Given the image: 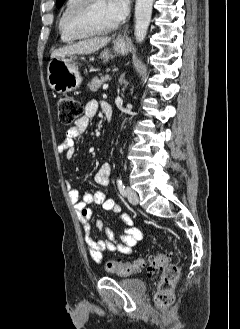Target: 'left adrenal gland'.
<instances>
[{"mask_svg": "<svg viewBox=\"0 0 240 329\" xmlns=\"http://www.w3.org/2000/svg\"><path fill=\"white\" fill-rule=\"evenodd\" d=\"M123 78H124V74H123V75L121 76V78H120V83H122Z\"/></svg>", "mask_w": 240, "mask_h": 329, "instance_id": "obj_1", "label": "left adrenal gland"}]
</instances>
